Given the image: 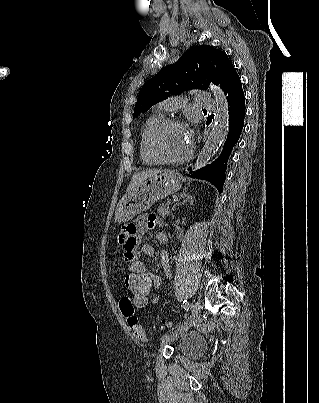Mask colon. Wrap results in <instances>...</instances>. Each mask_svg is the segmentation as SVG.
<instances>
[{"instance_id": "1", "label": "colon", "mask_w": 319, "mask_h": 403, "mask_svg": "<svg viewBox=\"0 0 319 403\" xmlns=\"http://www.w3.org/2000/svg\"><path fill=\"white\" fill-rule=\"evenodd\" d=\"M123 275L127 276L125 284L130 296L117 297V304L122 313L121 323L122 325H129V334L134 341L144 343L147 342L148 336L146 331L139 325L136 310L149 308L148 300L152 299V284L155 282V277L154 275H147V268L144 267L143 258H135L134 263L126 262ZM165 326L170 327L171 322L164 321L162 327Z\"/></svg>"}]
</instances>
